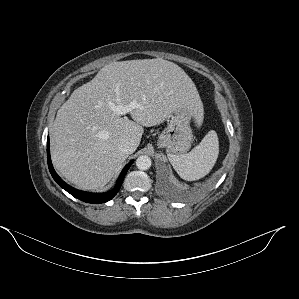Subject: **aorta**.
Masks as SVG:
<instances>
[{
	"label": "aorta",
	"mask_w": 299,
	"mask_h": 299,
	"mask_svg": "<svg viewBox=\"0 0 299 299\" xmlns=\"http://www.w3.org/2000/svg\"><path fill=\"white\" fill-rule=\"evenodd\" d=\"M136 166L140 170H147L151 167V159L147 155H141L136 159Z\"/></svg>",
	"instance_id": "obj_1"
}]
</instances>
